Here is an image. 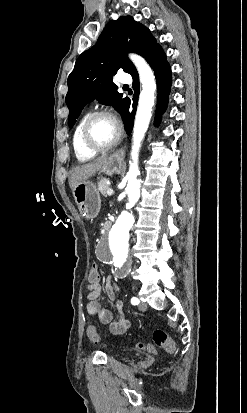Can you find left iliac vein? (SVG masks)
Instances as JSON below:
<instances>
[{"instance_id":"obj_1","label":"left iliac vein","mask_w":247,"mask_h":413,"mask_svg":"<svg viewBox=\"0 0 247 413\" xmlns=\"http://www.w3.org/2000/svg\"><path fill=\"white\" fill-rule=\"evenodd\" d=\"M138 308L140 311H144L147 309V305L143 301H140Z\"/></svg>"}]
</instances>
